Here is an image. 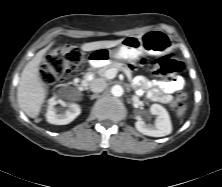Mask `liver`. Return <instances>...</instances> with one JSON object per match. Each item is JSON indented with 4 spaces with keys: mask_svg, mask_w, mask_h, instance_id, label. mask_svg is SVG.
<instances>
[{
    "mask_svg": "<svg viewBox=\"0 0 222 187\" xmlns=\"http://www.w3.org/2000/svg\"><path fill=\"white\" fill-rule=\"evenodd\" d=\"M122 39L114 41H96L84 43L83 51H94L101 48H112L120 44ZM53 45L51 42L46 48L40 50L25 66L22 71L17 90L19 107L31 118H36L46 97V88L39 76V65L45 53Z\"/></svg>",
    "mask_w": 222,
    "mask_h": 187,
    "instance_id": "obj_1",
    "label": "liver"
}]
</instances>
